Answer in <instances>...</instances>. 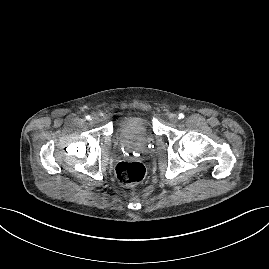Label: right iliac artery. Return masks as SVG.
Here are the masks:
<instances>
[{
  "label": "right iliac artery",
  "mask_w": 269,
  "mask_h": 269,
  "mask_svg": "<svg viewBox=\"0 0 269 269\" xmlns=\"http://www.w3.org/2000/svg\"><path fill=\"white\" fill-rule=\"evenodd\" d=\"M86 119L87 120H91V117L88 115V116H86Z\"/></svg>",
  "instance_id": "obj_1"
}]
</instances>
